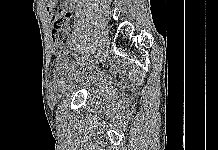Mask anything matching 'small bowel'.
<instances>
[{"label": "small bowel", "instance_id": "c3829d8e", "mask_svg": "<svg viewBox=\"0 0 218 150\" xmlns=\"http://www.w3.org/2000/svg\"><path fill=\"white\" fill-rule=\"evenodd\" d=\"M75 0H64L63 6L55 11L57 0H45L46 10L52 23V32L56 29H67Z\"/></svg>", "mask_w": 218, "mask_h": 150}]
</instances>
